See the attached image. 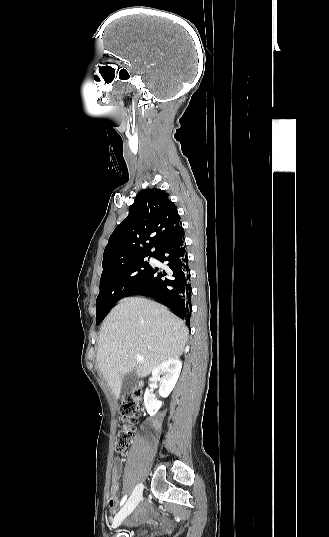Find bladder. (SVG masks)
<instances>
[{
  "label": "bladder",
  "instance_id": "31cf9c89",
  "mask_svg": "<svg viewBox=\"0 0 329 537\" xmlns=\"http://www.w3.org/2000/svg\"><path fill=\"white\" fill-rule=\"evenodd\" d=\"M144 532H139V535L143 534Z\"/></svg>",
  "mask_w": 329,
  "mask_h": 537
}]
</instances>
